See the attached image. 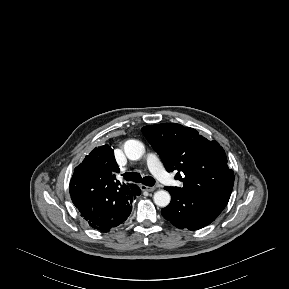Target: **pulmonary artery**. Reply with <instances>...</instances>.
I'll return each instance as SVG.
<instances>
[{
  "mask_svg": "<svg viewBox=\"0 0 289 289\" xmlns=\"http://www.w3.org/2000/svg\"><path fill=\"white\" fill-rule=\"evenodd\" d=\"M146 163L151 173L155 175L157 179L164 183L170 181L168 173L165 171L158 157L154 153H149L147 155Z\"/></svg>",
  "mask_w": 289,
  "mask_h": 289,
  "instance_id": "e3ab8cb5",
  "label": "pulmonary artery"
}]
</instances>
